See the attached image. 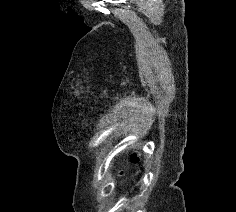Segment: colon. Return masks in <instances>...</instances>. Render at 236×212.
Returning <instances> with one entry per match:
<instances>
[{
	"instance_id": "obj_1",
	"label": "colon",
	"mask_w": 236,
	"mask_h": 212,
	"mask_svg": "<svg viewBox=\"0 0 236 212\" xmlns=\"http://www.w3.org/2000/svg\"><path fill=\"white\" fill-rule=\"evenodd\" d=\"M140 157L141 156L138 152H133V154L131 156V160H132V162L137 163V162H139Z\"/></svg>"
}]
</instances>
